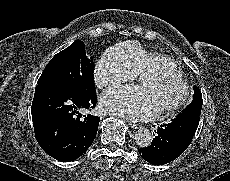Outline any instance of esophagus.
<instances>
[{"label":"esophagus","instance_id":"obj_1","mask_svg":"<svg viewBox=\"0 0 230 181\" xmlns=\"http://www.w3.org/2000/svg\"><path fill=\"white\" fill-rule=\"evenodd\" d=\"M129 126L131 127V128H133V129H139L140 127H141V125L140 124H137V123H129Z\"/></svg>","mask_w":230,"mask_h":181}]
</instances>
